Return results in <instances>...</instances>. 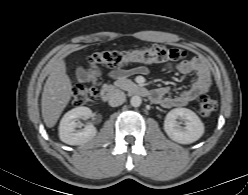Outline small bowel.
Returning a JSON list of instances; mask_svg holds the SVG:
<instances>
[{
	"label": "small bowel",
	"instance_id": "obj_1",
	"mask_svg": "<svg viewBox=\"0 0 248 195\" xmlns=\"http://www.w3.org/2000/svg\"><path fill=\"white\" fill-rule=\"evenodd\" d=\"M170 68V66H166ZM177 70L181 74H195L194 82L187 88L175 93H171L169 88H158L151 92V97L154 101L158 102L165 108L182 107L189 102L195 100L200 95L206 93L212 84L211 75L205 62L197 57L185 59L177 65ZM146 68L134 67L131 69H117L109 73L113 79L121 78L130 74L138 73L144 74ZM100 75L99 71L95 68L79 69L77 77L78 80L83 82L92 78H97Z\"/></svg>",
	"mask_w": 248,
	"mask_h": 195
}]
</instances>
